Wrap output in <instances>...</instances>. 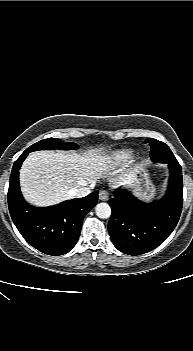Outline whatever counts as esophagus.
<instances>
[{
  "instance_id": "esophagus-1",
  "label": "esophagus",
  "mask_w": 193,
  "mask_h": 351,
  "mask_svg": "<svg viewBox=\"0 0 193 351\" xmlns=\"http://www.w3.org/2000/svg\"><path fill=\"white\" fill-rule=\"evenodd\" d=\"M108 198H109V192H108V191H106V190H101V191L99 192V199H100V200L106 201V200H108Z\"/></svg>"
}]
</instances>
